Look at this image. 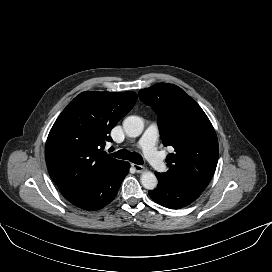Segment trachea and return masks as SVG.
Instances as JSON below:
<instances>
[{
    "instance_id": "1",
    "label": "trachea",
    "mask_w": 272,
    "mask_h": 272,
    "mask_svg": "<svg viewBox=\"0 0 272 272\" xmlns=\"http://www.w3.org/2000/svg\"><path fill=\"white\" fill-rule=\"evenodd\" d=\"M112 156L115 158L123 159V160H129L138 165L143 164V159L141 155L135 152H129L128 150H125V149L114 152Z\"/></svg>"
}]
</instances>
